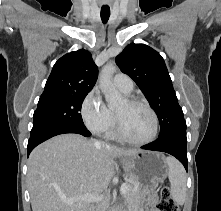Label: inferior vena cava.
Wrapping results in <instances>:
<instances>
[{
  "label": "inferior vena cava",
  "mask_w": 221,
  "mask_h": 211,
  "mask_svg": "<svg viewBox=\"0 0 221 211\" xmlns=\"http://www.w3.org/2000/svg\"><path fill=\"white\" fill-rule=\"evenodd\" d=\"M91 211H99V207H93Z\"/></svg>",
  "instance_id": "602c4592"
}]
</instances>
